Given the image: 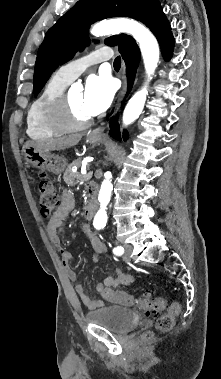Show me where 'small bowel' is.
Segmentation results:
<instances>
[{
	"instance_id": "small-bowel-1",
	"label": "small bowel",
	"mask_w": 221,
	"mask_h": 379,
	"mask_svg": "<svg viewBox=\"0 0 221 379\" xmlns=\"http://www.w3.org/2000/svg\"><path fill=\"white\" fill-rule=\"evenodd\" d=\"M75 206L74 196L68 192L64 191L61 196V202L53 214V216L49 219L47 223V233L49 235L50 240L56 245L60 250L61 261L63 269L69 278V280L73 283L74 289L81 300V302L87 306L88 308H96L102 305L101 300H92L87 293L85 292L83 286L78 281L77 274L71 268V261L73 259L72 253L63 248L60 242V234L64 230V222L67 219L69 213L73 210ZM81 230L85 233V235L90 240L92 248L94 250L93 260L97 261L101 255L106 251V247L104 243L95 235V233L90 229L89 225L84 223L81 225ZM134 281L132 275L125 274L121 269H116L114 275H110L106 277L102 283L104 287H119L121 285H131Z\"/></svg>"
}]
</instances>
